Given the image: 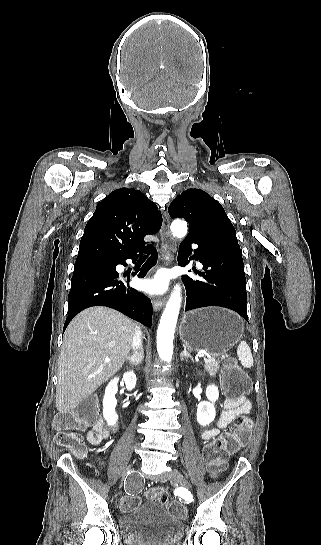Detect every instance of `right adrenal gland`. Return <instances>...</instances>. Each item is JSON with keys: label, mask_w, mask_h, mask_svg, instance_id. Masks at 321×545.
Wrapping results in <instances>:
<instances>
[{"label": "right adrenal gland", "mask_w": 321, "mask_h": 545, "mask_svg": "<svg viewBox=\"0 0 321 545\" xmlns=\"http://www.w3.org/2000/svg\"><path fill=\"white\" fill-rule=\"evenodd\" d=\"M144 359L143 349H140L138 355H132V357H126L125 361H128L132 367H139Z\"/></svg>", "instance_id": "1"}]
</instances>
